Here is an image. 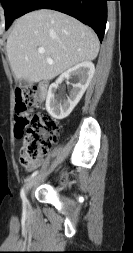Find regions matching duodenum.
Listing matches in <instances>:
<instances>
[{"instance_id":"duodenum-1","label":"duodenum","mask_w":133,"mask_h":253,"mask_svg":"<svg viewBox=\"0 0 133 253\" xmlns=\"http://www.w3.org/2000/svg\"><path fill=\"white\" fill-rule=\"evenodd\" d=\"M39 87H40L42 95H46L47 90H48V83L42 82Z\"/></svg>"}]
</instances>
